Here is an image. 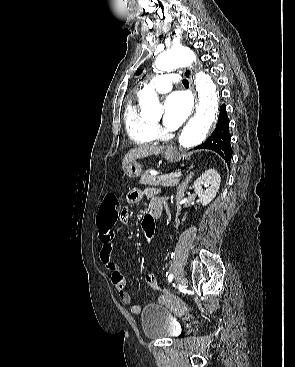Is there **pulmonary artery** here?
I'll list each match as a JSON object with an SVG mask.
<instances>
[{
    "mask_svg": "<svg viewBox=\"0 0 295 367\" xmlns=\"http://www.w3.org/2000/svg\"><path fill=\"white\" fill-rule=\"evenodd\" d=\"M178 76L173 73H163L154 77L151 86L159 93L169 92L174 83L178 82Z\"/></svg>",
    "mask_w": 295,
    "mask_h": 367,
    "instance_id": "obj_1",
    "label": "pulmonary artery"
}]
</instances>
